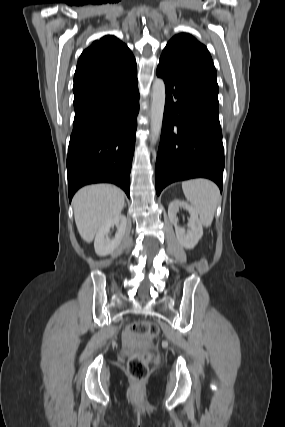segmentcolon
<instances>
[{
  "label": "colon",
  "instance_id": "5ec220e1",
  "mask_svg": "<svg viewBox=\"0 0 285 427\" xmlns=\"http://www.w3.org/2000/svg\"><path fill=\"white\" fill-rule=\"evenodd\" d=\"M158 326L151 321H139L129 325L124 332V342L127 347H140L128 361L129 376L135 382H142L148 376V364L153 352L150 345L158 335Z\"/></svg>",
  "mask_w": 285,
  "mask_h": 427
}]
</instances>
